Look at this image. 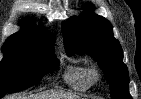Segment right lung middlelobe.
Returning <instances> with one entry per match:
<instances>
[{"label": "right lung middle lobe", "instance_id": "1", "mask_svg": "<svg viewBox=\"0 0 141 99\" xmlns=\"http://www.w3.org/2000/svg\"><path fill=\"white\" fill-rule=\"evenodd\" d=\"M0 62V98L29 88L58 65L52 44L6 41Z\"/></svg>", "mask_w": 141, "mask_h": 99}]
</instances>
